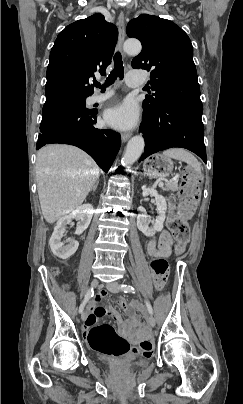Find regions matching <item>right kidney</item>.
<instances>
[{
	"label": "right kidney",
	"instance_id": "ca27d5eb",
	"mask_svg": "<svg viewBox=\"0 0 243 404\" xmlns=\"http://www.w3.org/2000/svg\"><path fill=\"white\" fill-rule=\"evenodd\" d=\"M92 216V206H90V204H84V206H79L77 210H73L69 216H63V218L58 220L49 240V246L54 256L61 258V260H67V258L75 254L76 250H78L79 242H76V240H68L69 244L65 246V242H61V238H63L66 228L68 224H71L72 220H79L75 234H82L84 230H87Z\"/></svg>",
	"mask_w": 243,
	"mask_h": 404
}]
</instances>
